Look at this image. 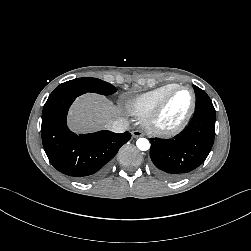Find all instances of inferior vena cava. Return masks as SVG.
<instances>
[{
  "instance_id": "602c4592",
  "label": "inferior vena cava",
  "mask_w": 251,
  "mask_h": 251,
  "mask_svg": "<svg viewBox=\"0 0 251 251\" xmlns=\"http://www.w3.org/2000/svg\"><path fill=\"white\" fill-rule=\"evenodd\" d=\"M129 123L126 119L118 118L113 121L110 130L115 133H123L127 130Z\"/></svg>"
}]
</instances>
